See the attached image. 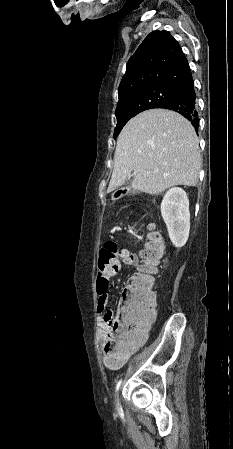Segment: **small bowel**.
I'll return each mask as SVG.
<instances>
[{"mask_svg": "<svg viewBox=\"0 0 233 449\" xmlns=\"http://www.w3.org/2000/svg\"><path fill=\"white\" fill-rule=\"evenodd\" d=\"M120 260L128 266H136L138 263L136 255L130 253V252H123L120 255ZM120 267V262L117 264L116 267L108 269V278H112L115 276L118 272V269ZM108 293L106 295L99 296L98 299V312L100 314L106 313V309L108 307ZM154 319V316H150L143 324L142 326L137 330L135 337L126 342L124 347H126L125 351V360L130 357L132 354H134L143 344L146 342L148 338V332L150 328V324L152 320ZM108 341V326L105 323V320H101L99 323V347L100 350L103 352L104 346L106 342ZM115 345H117L115 340Z\"/></svg>", "mask_w": 233, "mask_h": 449, "instance_id": "small-bowel-1", "label": "small bowel"}]
</instances>
